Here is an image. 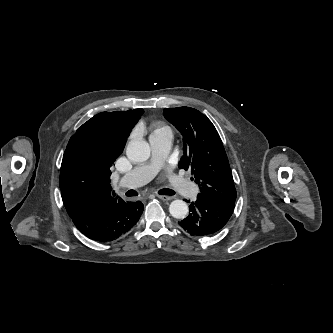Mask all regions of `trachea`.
Returning <instances> with one entry per match:
<instances>
[{"mask_svg":"<svg viewBox=\"0 0 333 333\" xmlns=\"http://www.w3.org/2000/svg\"><path fill=\"white\" fill-rule=\"evenodd\" d=\"M158 193H159L160 195H169V196L175 194V192H174L172 189H167V188H164V189L159 190ZM126 195H127V196H137L138 193H137L136 191H134V190H129V191L126 193Z\"/></svg>","mask_w":333,"mask_h":333,"instance_id":"obj_1","label":"trachea"}]
</instances>
